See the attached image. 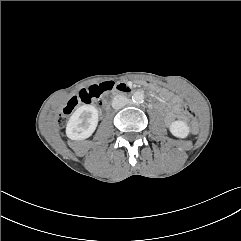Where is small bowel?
I'll list each match as a JSON object with an SVG mask.
<instances>
[{
  "label": "small bowel",
  "mask_w": 241,
  "mask_h": 241,
  "mask_svg": "<svg viewBox=\"0 0 241 241\" xmlns=\"http://www.w3.org/2000/svg\"><path fill=\"white\" fill-rule=\"evenodd\" d=\"M165 97L170 101V106L166 108V120L171 121L175 116L180 113V99L169 93H165Z\"/></svg>",
  "instance_id": "c3829d8e"
}]
</instances>
